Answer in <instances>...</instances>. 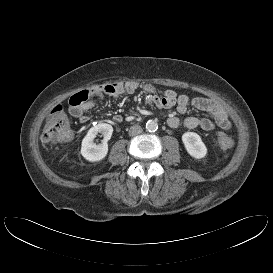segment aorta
I'll return each instance as SVG.
<instances>
[{
  "label": "aorta",
  "instance_id": "762f6f07",
  "mask_svg": "<svg viewBox=\"0 0 273 273\" xmlns=\"http://www.w3.org/2000/svg\"><path fill=\"white\" fill-rule=\"evenodd\" d=\"M146 129L150 132H154L158 129V124L154 120H149L146 123Z\"/></svg>",
  "mask_w": 273,
  "mask_h": 273
}]
</instances>
